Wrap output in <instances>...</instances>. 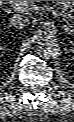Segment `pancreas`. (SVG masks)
I'll return each instance as SVG.
<instances>
[{
  "mask_svg": "<svg viewBox=\"0 0 74 122\" xmlns=\"http://www.w3.org/2000/svg\"><path fill=\"white\" fill-rule=\"evenodd\" d=\"M10 5L16 9V10H30L32 9L33 6H35V2L37 1H9ZM61 8L63 10H68L67 12V16H71L72 15V3L71 2H66V1H62L61 2Z\"/></svg>",
  "mask_w": 74,
  "mask_h": 122,
  "instance_id": "pancreas-1",
  "label": "pancreas"
}]
</instances>
